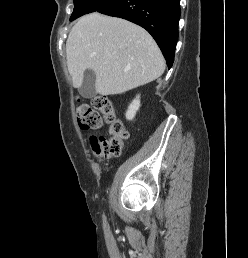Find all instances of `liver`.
Wrapping results in <instances>:
<instances>
[{"label": "liver", "mask_w": 248, "mask_h": 258, "mask_svg": "<svg viewBox=\"0 0 248 258\" xmlns=\"http://www.w3.org/2000/svg\"><path fill=\"white\" fill-rule=\"evenodd\" d=\"M73 86L80 88L86 69L96 74L95 90L124 93L160 77L165 61L149 33L127 20L91 13L81 17L66 42Z\"/></svg>", "instance_id": "6515ba94"}]
</instances>
